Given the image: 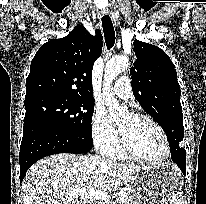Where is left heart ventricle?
<instances>
[{
    "mask_svg": "<svg viewBox=\"0 0 206 204\" xmlns=\"http://www.w3.org/2000/svg\"><path fill=\"white\" fill-rule=\"evenodd\" d=\"M118 128L128 136L140 155L149 159H159L165 155L166 147L161 134L147 121H136L127 115L118 123Z\"/></svg>",
    "mask_w": 206,
    "mask_h": 204,
    "instance_id": "b2bd125f",
    "label": "left heart ventricle"
}]
</instances>
